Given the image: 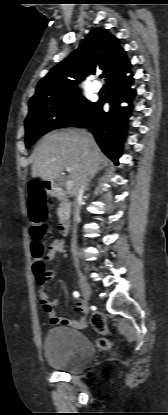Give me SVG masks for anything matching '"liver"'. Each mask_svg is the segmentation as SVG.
I'll use <instances>...</instances> for the list:
<instances>
[{
  "label": "liver",
  "mask_w": 168,
  "mask_h": 415,
  "mask_svg": "<svg viewBox=\"0 0 168 415\" xmlns=\"http://www.w3.org/2000/svg\"><path fill=\"white\" fill-rule=\"evenodd\" d=\"M104 160L105 156L86 130H55L46 134L37 146L31 175L53 181L69 167V179L73 182L71 194L75 195L82 180L94 176Z\"/></svg>",
  "instance_id": "liver-1"
}]
</instances>
